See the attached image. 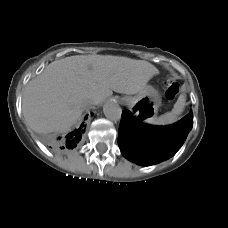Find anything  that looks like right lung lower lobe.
Masks as SVG:
<instances>
[{"mask_svg":"<svg viewBox=\"0 0 228 228\" xmlns=\"http://www.w3.org/2000/svg\"><path fill=\"white\" fill-rule=\"evenodd\" d=\"M85 132V125L82 123L78 128L69 132L67 135L57 138H51L47 141L50 148L57 152H67L73 149L81 140Z\"/></svg>","mask_w":228,"mask_h":228,"instance_id":"1","label":"right lung lower lobe"}]
</instances>
